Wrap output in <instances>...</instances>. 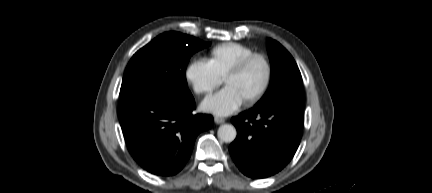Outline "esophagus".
I'll use <instances>...</instances> for the list:
<instances>
[{"label": "esophagus", "mask_w": 432, "mask_h": 193, "mask_svg": "<svg viewBox=\"0 0 432 193\" xmlns=\"http://www.w3.org/2000/svg\"><path fill=\"white\" fill-rule=\"evenodd\" d=\"M224 120L222 119V118H219V117H215V122L216 123H221V122H223Z\"/></svg>", "instance_id": "34e87169"}]
</instances>
